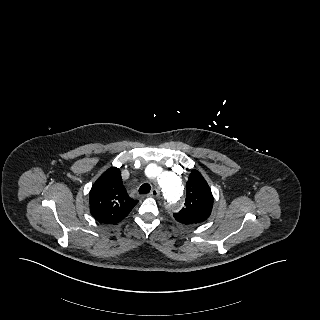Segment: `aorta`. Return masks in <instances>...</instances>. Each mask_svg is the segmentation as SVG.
Wrapping results in <instances>:
<instances>
[{
  "mask_svg": "<svg viewBox=\"0 0 320 320\" xmlns=\"http://www.w3.org/2000/svg\"><path fill=\"white\" fill-rule=\"evenodd\" d=\"M159 186L169 207L180 210L183 207V198L179 178L171 172H164L159 176Z\"/></svg>",
  "mask_w": 320,
  "mask_h": 320,
  "instance_id": "aorta-1",
  "label": "aorta"
}]
</instances>
